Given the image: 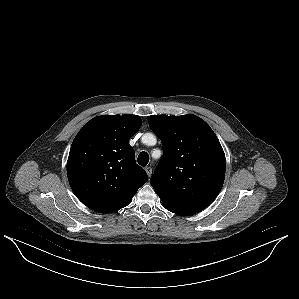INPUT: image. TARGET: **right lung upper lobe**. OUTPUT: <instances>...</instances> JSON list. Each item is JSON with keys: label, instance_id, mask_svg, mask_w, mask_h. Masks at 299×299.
<instances>
[{"label": "right lung upper lobe", "instance_id": "cb5924a9", "mask_svg": "<svg viewBox=\"0 0 299 299\" xmlns=\"http://www.w3.org/2000/svg\"><path fill=\"white\" fill-rule=\"evenodd\" d=\"M141 125L137 115H102L87 122L76 135L67 176L75 195L90 209L117 211L148 180L129 144Z\"/></svg>", "mask_w": 299, "mask_h": 299}]
</instances>
